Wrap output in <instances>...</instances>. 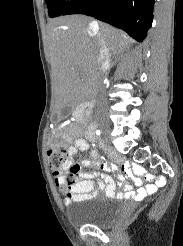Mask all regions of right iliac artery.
<instances>
[{
  "mask_svg": "<svg viewBox=\"0 0 183 246\" xmlns=\"http://www.w3.org/2000/svg\"><path fill=\"white\" fill-rule=\"evenodd\" d=\"M96 134L100 135L101 134L100 130H96Z\"/></svg>",
  "mask_w": 183,
  "mask_h": 246,
  "instance_id": "82829eb1",
  "label": "right iliac artery"
}]
</instances>
